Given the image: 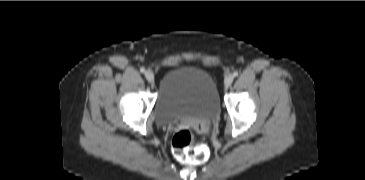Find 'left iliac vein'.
<instances>
[{
	"label": "left iliac vein",
	"mask_w": 365,
	"mask_h": 180,
	"mask_svg": "<svg viewBox=\"0 0 365 180\" xmlns=\"http://www.w3.org/2000/svg\"><path fill=\"white\" fill-rule=\"evenodd\" d=\"M234 80V77L232 74H229L225 77L224 83L226 86H230Z\"/></svg>",
	"instance_id": "4c4485c4"
}]
</instances>
